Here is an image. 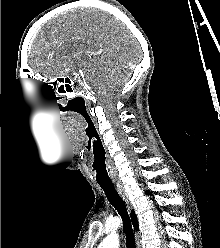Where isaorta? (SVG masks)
I'll return each instance as SVG.
<instances>
[{
    "mask_svg": "<svg viewBox=\"0 0 220 248\" xmlns=\"http://www.w3.org/2000/svg\"><path fill=\"white\" fill-rule=\"evenodd\" d=\"M98 248H119V237L117 234L108 235Z\"/></svg>",
    "mask_w": 220,
    "mask_h": 248,
    "instance_id": "obj_1",
    "label": "aorta"
}]
</instances>
